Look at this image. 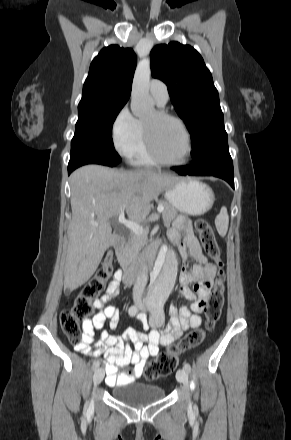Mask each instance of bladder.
I'll list each match as a JSON object with an SVG mask.
<instances>
[{
  "mask_svg": "<svg viewBox=\"0 0 291 440\" xmlns=\"http://www.w3.org/2000/svg\"><path fill=\"white\" fill-rule=\"evenodd\" d=\"M112 396L123 404L145 406L162 400L165 390L158 385L133 382L113 387Z\"/></svg>",
  "mask_w": 291,
  "mask_h": 440,
  "instance_id": "obj_1",
  "label": "bladder"
}]
</instances>
